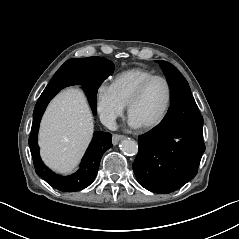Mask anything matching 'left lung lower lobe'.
Here are the masks:
<instances>
[{"label":"left lung lower lobe","instance_id":"obj_1","mask_svg":"<svg viewBox=\"0 0 239 239\" xmlns=\"http://www.w3.org/2000/svg\"><path fill=\"white\" fill-rule=\"evenodd\" d=\"M132 165L141 186L167 194L193 179L205 151L203 118L191 93L176 97L164 120L139 137Z\"/></svg>","mask_w":239,"mask_h":239}]
</instances>
